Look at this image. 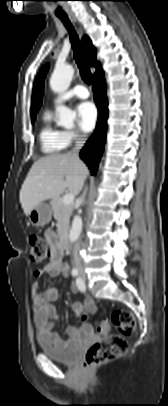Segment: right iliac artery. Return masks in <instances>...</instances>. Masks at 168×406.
Returning <instances> with one entry per match:
<instances>
[{
	"label": "right iliac artery",
	"mask_w": 168,
	"mask_h": 406,
	"mask_svg": "<svg viewBox=\"0 0 168 406\" xmlns=\"http://www.w3.org/2000/svg\"><path fill=\"white\" fill-rule=\"evenodd\" d=\"M71 274L73 276H77L78 275V270L76 268L72 269Z\"/></svg>",
	"instance_id": "82829eb1"
}]
</instances>
